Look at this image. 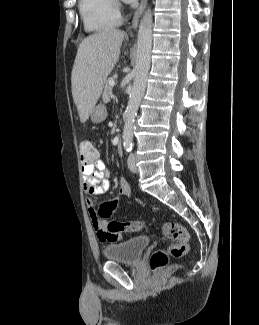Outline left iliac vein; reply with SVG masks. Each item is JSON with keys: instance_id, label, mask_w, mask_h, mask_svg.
<instances>
[{"instance_id": "1", "label": "left iliac vein", "mask_w": 259, "mask_h": 325, "mask_svg": "<svg viewBox=\"0 0 259 325\" xmlns=\"http://www.w3.org/2000/svg\"><path fill=\"white\" fill-rule=\"evenodd\" d=\"M128 168L133 173L138 172V168L136 166V159H135L134 154H130L129 157H128Z\"/></svg>"}]
</instances>
